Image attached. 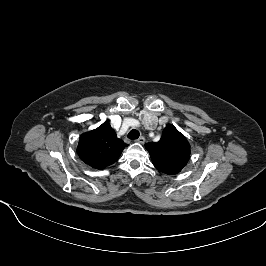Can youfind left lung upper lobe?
Returning a JSON list of instances; mask_svg holds the SVG:
<instances>
[{"mask_svg":"<svg viewBox=\"0 0 266 266\" xmlns=\"http://www.w3.org/2000/svg\"><path fill=\"white\" fill-rule=\"evenodd\" d=\"M156 169L166 174H177L188 163L190 145L173 125L165 127L159 142L145 145Z\"/></svg>","mask_w":266,"mask_h":266,"instance_id":"left-lung-upper-lobe-1","label":"left lung upper lobe"}]
</instances>
